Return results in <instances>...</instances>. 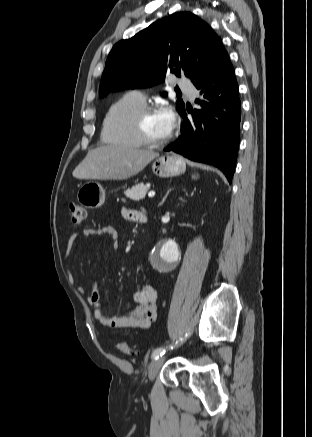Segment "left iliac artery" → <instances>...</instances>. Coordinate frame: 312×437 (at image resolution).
<instances>
[{"label":"left iliac artery","instance_id":"left-iliac-artery-1","mask_svg":"<svg viewBox=\"0 0 312 437\" xmlns=\"http://www.w3.org/2000/svg\"><path fill=\"white\" fill-rule=\"evenodd\" d=\"M186 336H187V334H186ZM165 352H166V348H164V347L157 348V349H155L153 351L152 358L153 359H158L160 356L165 354Z\"/></svg>","mask_w":312,"mask_h":437}]
</instances>
